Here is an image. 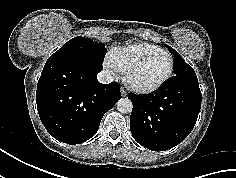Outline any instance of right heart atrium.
<instances>
[{
    "instance_id": "1",
    "label": "right heart atrium",
    "mask_w": 236,
    "mask_h": 178,
    "mask_svg": "<svg viewBox=\"0 0 236 178\" xmlns=\"http://www.w3.org/2000/svg\"><path fill=\"white\" fill-rule=\"evenodd\" d=\"M104 65H105V68H106L111 74H113V75L116 74L117 70H116V68L110 63L109 60H106L105 63H104Z\"/></svg>"
}]
</instances>
